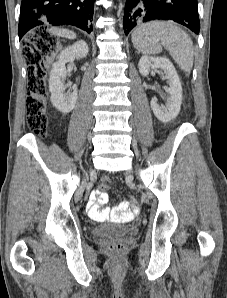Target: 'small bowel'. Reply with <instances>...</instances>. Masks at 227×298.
Wrapping results in <instances>:
<instances>
[{"label":"small bowel","instance_id":"obj_1","mask_svg":"<svg viewBox=\"0 0 227 298\" xmlns=\"http://www.w3.org/2000/svg\"><path fill=\"white\" fill-rule=\"evenodd\" d=\"M104 180L109 182L108 178H104ZM107 202L108 194L106 193V190L99 191L97 189L93 191L87 204V213L89 217L97 221H102L109 218H120L127 220L132 214L138 211V207L129 209L127 202H123L119 206L113 208L105 206Z\"/></svg>","mask_w":227,"mask_h":298}]
</instances>
